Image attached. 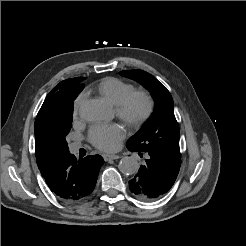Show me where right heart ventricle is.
<instances>
[{
  "label": "right heart ventricle",
  "instance_id": "1",
  "mask_svg": "<svg viewBox=\"0 0 246 246\" xmlns=\"http://www.w3.org/2000/svg\"><path fill=\"white\" fill-rule=\"evenodd\" d=\"M134 90L132 84L115 77L105 78L97 85L99 94L113 105L120 103Z\"/></svg>",
  "mask_w": 246,
  "mask_h": 246
}]
</instances>
